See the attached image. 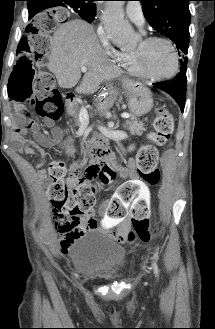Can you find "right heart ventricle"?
<instances>
[{
	"label": "right heart ventricle",
	"instance_id": "1",
	"mask_svg": "<svg viewBox=\"0 0 215 329\" xmlns=\"http://www.w3.org/2000/svg\"><path fill=\"white\" fill-rule=\"evenodd\" d=\"M132 52H120L118 61L132 74L138 75L133 65Z\"/></svg>",
	"mask_w": 215,
	"mask_h": 329
}]
</instances>
